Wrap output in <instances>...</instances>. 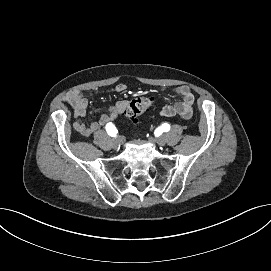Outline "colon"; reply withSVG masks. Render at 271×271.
Returning <instances> with one entry per match:
<instances>
[{
	"mask_svg": "<svg viewBox=\"0 0 271 271\" xmlns=\"http://www.w3.org/2000/svg\"><path fill=\"white\" fill-rule=\"evenodd\" d=\"M153 99L147 96L136 97L127 103L124 114L130 119H134L146 112L152 105Z\"/></svg>",
	"mask_w": 271,
	"mask_h": 271,
	"instance_id": "5ec220e1",
	"label": "colon"
}]
</instances>
